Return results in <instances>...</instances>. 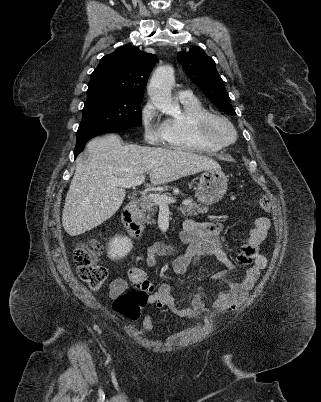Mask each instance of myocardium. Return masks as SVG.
I'll return each instance as SVG.
<instances>
[{"instance_id": "obj_1", "label": "myocardium", "mask_w": 321, "mask_h": 402, "mask_svg": "<svg viewBox=\"0 0 321 402\" xmlns=\"http://www.w3.org/2000/svg\"><path fill=\"white\" fill-rule=\"evenodd\" d=\"M215 122H222L226 125L230 132L231 138L230 139H223L213 132V126ZM197 130L200 136L207 142L218 146L220 148L227 147L233 144L237 139V131L233 125V123L224 115L214 112H208L197 119L196 122Z\"/></svg>"}]
</instances>
